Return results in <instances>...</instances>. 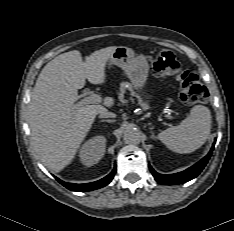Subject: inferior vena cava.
<instances>
[{"instance_id":"obj_1","label":"inferior vena cava","mask_w":234,"mask_h":231,"mask_svg":"<svg viewBox=\"0 0 234 231\" xmlns=\"http://www.w3.org/2000/svg\"><path fill=\"white\" fill-rule=\"evenodd\" d=\"M99 117L100 118H115L116 117V114L113 113V112H109L107 110H104V111H101L99 113Z\"/></svg>"}]
</instances>
